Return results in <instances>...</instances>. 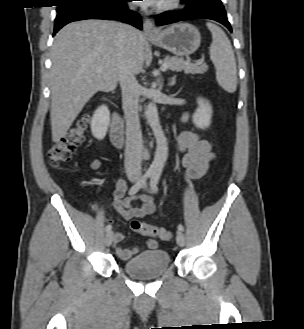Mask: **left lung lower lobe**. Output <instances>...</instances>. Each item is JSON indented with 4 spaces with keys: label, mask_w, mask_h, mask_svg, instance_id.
Returning a JSON list of instances; mask_svg holds the SVG:
<instances>
[{
    "label": "left lung lower lobe",
    "mask_w": 304,
    "mask_h": 329,
    "mask_svg": "<svg viewBox=\"0 0 304 329\" xmlns=\"http://www.w3.org/2000/svg\"><path fill=\"white\" fill-rule=\"evenodd\" d=\"M186 3L184 10L168 14L156 20L158 26L190 19H212L220 22L232 32L230 23L221 0H182ZM160 14L159 16H163Z\"/></svg>",
    "instance_id": "0a47b994"
}]
</instances>
